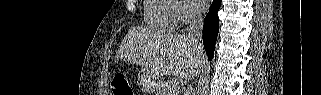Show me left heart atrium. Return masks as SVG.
<instances>
[{
    "instance_id": "1",
    "label": "left heart atrium",
    "mask_w": 321,
    "mask_h": 95,
    "mask_svg": "<svg viewBox=\"0 0 321 95\" xmlns=\"http://www.w3.org/2000/svg\"><path fill=\"white\" fill-rule=\"evenodd\" d=\"M192 3L198 10H204L208 7V0H192Z\"/></svg>"
}]
</instances>
